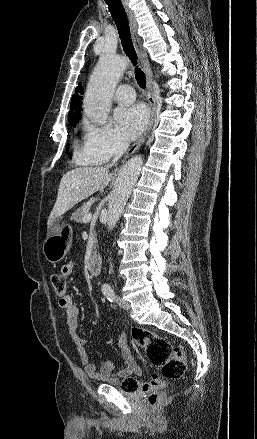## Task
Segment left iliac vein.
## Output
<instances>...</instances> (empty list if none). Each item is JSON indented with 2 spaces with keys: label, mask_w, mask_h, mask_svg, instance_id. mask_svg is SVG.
<instances>
[{
  "label": "left iliac vein",
  "mask_w": 257,
  "mask_h": 439,
  "mask_svg": "<svg viewBox=\"0 0 257 439\" xmlns=\"http://www.w3.org/2000/svg\"><path fill=\"white\" fill-rule=\"evenodd\" d=\"M117 302L122 309L129 310L131 307L130 303L122 297H117Z\"/></svg>",
  "instance_id": "left-iliac-vein-1"
}]
</instances>
